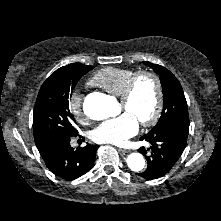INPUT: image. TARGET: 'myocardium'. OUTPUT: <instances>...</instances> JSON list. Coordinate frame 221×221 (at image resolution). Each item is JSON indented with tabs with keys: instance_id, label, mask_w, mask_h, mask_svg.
Returning a JSON list of instances; mask_svg holds the SVG:
<instances>
[{
	"instance_id": "f54148a6",
	"label": "myocardium",
	"mask_w": 221,
	"mask_h": 221,
	"mask_svg": "<svg viewBox=\"0 0 221 221\" xmlns=\"http://www.w3.org/2000/svg\"><path fill=\"white\" fill-rule=\"evenodd\" d=\"M141 77H149L154 81L155 88H156V103H155V108L152 113V115L145 120H141L140 124L144 127L152 126L154 125L160 118L162 110H163V105H164V93H163V86H162V81L160 77L149 70H142L134 73L126 82L122 93L119 95V100L121 103H127L132 96L134 86L137 82L138 79Z\"/></svg>"
}]
</instances>
